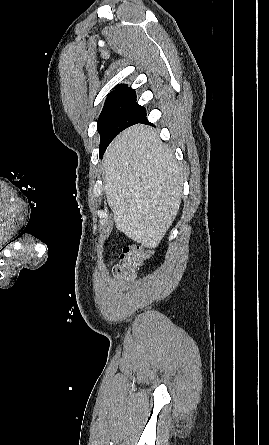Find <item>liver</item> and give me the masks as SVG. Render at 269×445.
<instances>
[{"instance_id": "liver-1", "label": "liver", "mask_w": 269, "mask_h": 445, "mask_svg": "<svg viewBox=\"0 0 269 445\" xmlns=\"http://www.w3.org/2000/svg\"><path fill=\"white\" fill-rule=\"evenodd\" d=\"M103 179L116 228L156 248L181 203L183 169L156 131L134 125L110 144Z\"/></svg>"}]
</instances>
